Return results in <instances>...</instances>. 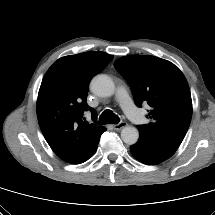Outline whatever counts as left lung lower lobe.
Segmentation results:
<instances>
[{
    "instance_id": "0a47b994",
    "label": "left lung lower lobe",
    "mask_w": 215,
    "mask_h": 215,
    "mask_svg": "<svg viewBox=\"0 0 215 215\" xmlns=\"http://www.w3.org/2000/svg\"><path fill=\"white\" fill-rule=\"evenodd\" d=\"M130 151L140 162L156 165L170 158L176 150L152 140L146 133L139 131V140L130 147Z\"/></svg>"
}]
</instances>
